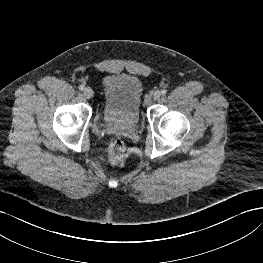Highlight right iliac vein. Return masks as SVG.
I'll return each mask as SVG.
<instances>
[{
  "label": "right iliac vein",
  "instance_id": "1",
  "mask_svg": "<svg viewBox=\"0 0 263 263\" xmlns=\"http://www.w3.org/2000/svg\"><path fill=\"white\" fill-rule=\"evenodd\" d=\"M83 94L87 99H91L94 95V92L91 88L87 87L84 89Z\"/></svg>",
  "mask_w": 263,
  "mask_h": 263
}]
</instances>
